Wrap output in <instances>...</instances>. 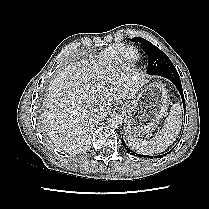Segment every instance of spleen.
Masks as SVG:
<instances>
[{
	"mask_svg": "<svg viewBox=\"0 0 209 209\" xmlns=\"http://www.w3.org/2000/svg\"><path fill=\"white\" fill-rule=\"evenodd\" d=\"M182 125V111L179 103L172 106L163 128L152 140L146 141L135 136L127 137L132 149L140 154L152 155L165 151L177 138Z\"/></svg>",
	"mask_w": 209,
	"mask_h": 209,
	"instance_id": "obj_1",
	"label": "spleen"
}]
</instances>
